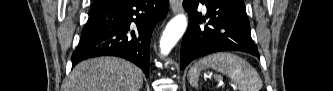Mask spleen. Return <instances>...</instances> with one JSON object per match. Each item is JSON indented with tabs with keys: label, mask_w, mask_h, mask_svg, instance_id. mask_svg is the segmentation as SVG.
<instances>
[{
	"label": "spleen",
	"mask_w": 333,
	"mask_h": 91,
	"mask_svg": "<svg viewBox=\"0 0 333 91\" xmlns=\"http://www.w3.org/2000/svg\"><path fill=\"white\" fill-rule=\"evenodd\" d=\"M206 68L229 76L239 91H260L263 86L257 71L246 60L230 52L214 53L196 61L188 72L191 86L198 87L200 72Z\"/></svg>",
	"instance_id": "3e777b00"
}]
</instances>
